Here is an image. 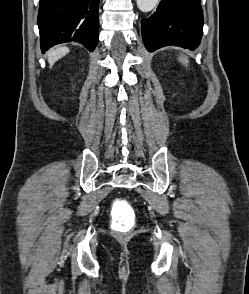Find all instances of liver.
Listing matches in <instances>:
<instances>
[{
    "mask_svg": "<svg viewBox=\"0 0 249 294\" xmlns=\"http://www.w3.org/2000/svg\"><path fill=\"white\" fill-rule=\"evenodd\" d=\"M69 52V48L67 47H59L57 49H52L47 53V59L48 63L50 64V67L54 65V63L65 56Z\"/></svg>",
    "mask_w": 249,
    "mask_h": 294,
    "instance_id": "liver-1",
    "label": "liver"
}]
</instances>
